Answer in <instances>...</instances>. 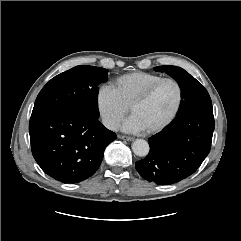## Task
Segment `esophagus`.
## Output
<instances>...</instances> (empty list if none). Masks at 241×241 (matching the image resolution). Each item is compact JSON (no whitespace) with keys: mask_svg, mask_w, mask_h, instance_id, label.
I'll return each instance as SVG.
<instances>
[{"mask_svg":"<svg viewBox=\"0 0 241 241\" xmlns=\"http://www.w3.org/2000/svg\"><path fill=\"white\" fill-rule=\"evenodd\" d=\"M118 138L123 139V140H127V141H132V140H134L133 137L125 136V135H118Z\"/></svg>","mask_w":241,"mask_h":241,"instance_id":"1","label":"esophagus"}]
</instances>
